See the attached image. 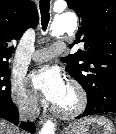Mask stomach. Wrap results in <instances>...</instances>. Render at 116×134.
Wrapping results in <instances>:
<instances>
[{"label": "stomach", "mask_w": 116, "mask_h": 134, "mask_svg": "<svg viewBox=\"0 0 116 134\" xmlns=\"http://www.w3.org/2000/svg\"><path fill=\"white\" fill-rule=\"evenodd\" d=\"M64 134H115L112 122L102 116H92L69 126Z\"/></svg>", "instance_id": "stomach-1"}]
</instances>
